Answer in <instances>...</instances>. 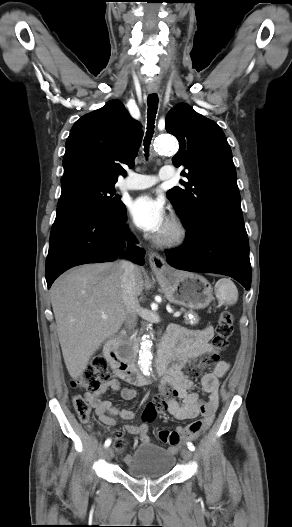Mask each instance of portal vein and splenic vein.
Masks as SVG:
<instances>
[{
    "mask_svg": "<svg viewBox=\"0 0 292 527\" xmlns=\"http://www.w3.org/2000/svg\"><path fill=\"white\" fill-rule=\"evenodd\" d=\"M180 315H181V312H179V311H178V312H175V313L173 314L174 317H179ZM101 317H102L103 319H106V318H107L106 315H102Z\"/></svg>",
    "mask_w": 292,
    "mask_h": 527,
    "instance_id": "portal-vein-and-splenic-vein-1",
    "label": "portal vein and splenic vein"
}]
</instances>
